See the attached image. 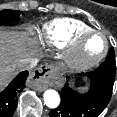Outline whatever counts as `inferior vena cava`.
<instances>
[{
	"label": "inferior vena cava",
	"mask_w": 117,
	"mask_h": 117,
	"mask_svg": "<svg viewBox=\"0 0 117 117\" xmlns=\"http://www.w3.org/2000/svg\"><path fill=\"white\" fill-rule=\"evenodd\" d=\"M38 63V60L35 58L23 59L19 64L20 70H30L34 68Z\"/></svg>",
	"instance_id": "obj_1"
}]
</instances>
